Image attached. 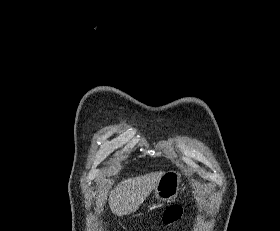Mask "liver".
<instances>
[{"label": "liver", "mask_w": 280, "mask_h": 231, "mask_svg": "<svg viewBox=\"0 0 280 231\" xmlns=\"http://www.w3.org/2000/svg\"><path fill=\"white\" fill-rule=\"evenodd\" d=\"M163 173L165 171H155V173L128 177V179L120 181L110 193L109 205L112 213L128 215V213L136 211L147 195L156 187Z\"/></svg>", "instance_id": "1"}]
</instances>
